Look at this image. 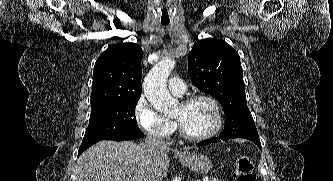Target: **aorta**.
<instances>
[{
  "label": "aorta",
  "mask_w": 333,
  "mask_h": 181,
  "mask_svg": "<svg viewBox=\"0 0 333 181\" xmlns=\"http://www.w3.org/2000/svg\"><path fill=\"white\" fill-rule=\"evenodd\" d=\"M174 67V60H160L147 74L143 83L146 98L156 110L163 114L170 113L178 106V100L172 98L167 89V79Z\"/></svg>",
  "instance_id": "aorta-1"
}]
</instances>
